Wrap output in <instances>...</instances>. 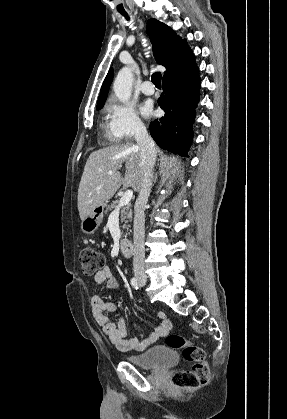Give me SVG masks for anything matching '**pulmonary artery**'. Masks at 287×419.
<instances>
[{"instance_id": "pulmonary-artery-1", "label": "pulmonary artery", "mask_w": 287, "mask_h": 419, "mask_svg": "<svg viewBox=\"0 0 287 419\" xmlns=\"http://www.w3.org/2000/svg\"><path fill=\"white\" fill-rule=\"evenodd\" d=\"M140 89L146 95H152V94H154V88H153L152 83L150 81L143 82L141 84Z\"/></svg>"}]
</instances>
